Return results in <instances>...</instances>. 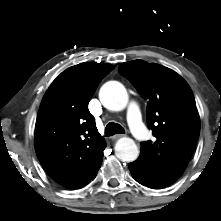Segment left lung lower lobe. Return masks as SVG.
Segmentation results:
<instances>
[{
  "mask_svg": "<svg viewBox=\"0 0 221 221\" xmlns=\"http://www.w3.org/2000/svg\"><path fill=\"white\" fill-rule=\"evenodd\" d=\"M129 170L132 174V177L139 182L140 184L147 186L149 188L151 187V184L149 183V181L147 180V178L144 175V170L141 167V165L136 161L129 163ZM154 189V188H153Z\"/></svg>",
  "mask_w": 221,
  "mask_h": 221,
  "instance_id": "left-lung-lower-lobe-1",
  "label": "left lung lower lobe"
}]
</instances>
